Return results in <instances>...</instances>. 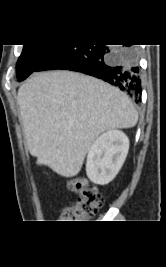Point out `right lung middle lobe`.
Wrapping results in <instances>:
<instances>
[{"label":"right lung middle lobe","mask_w":166,"mask_h":267,"mask_svg":"<svg viewBox=\"0 0 166 267\" xmlns=\"http://www.w3.org/2000/svg\"><path fill=\"white\" fill-rule=\"evenodd\" d=\"M23 51L17 61V80L27 78L58 48L57 44L23 45Z\"/></svg>","instance_id":"dd1d6c3e"}]
</instances>
